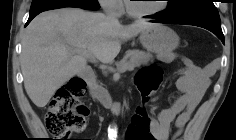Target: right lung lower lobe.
<instances>
[{"label": "right lung lower lobe", "mask_w": 236, "mask_h": 140, "mask_svg": "<svg viewBox=\"0 0 236 140\" xmlns=\"http://www.w3.org/2000/svg\"><path fill=\"white\" fill-rule=\"evenodd\" d=\"M42 11H39V12H35V13H30V15H29V18H28V21H27V23H26V25H28L29 24V22L35 17V16H37L39 13H41Z\"/></svg>", "instance_id": "obj_1"}]
</instances>
